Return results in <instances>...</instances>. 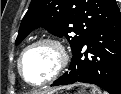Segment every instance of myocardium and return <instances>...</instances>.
<instances>
[{"instance_id": "obj_1", "label": "myocardium", "mask_w": 121, "mask_h": 94, "mask_svg": "<svg viewBox=\"0 0 121 94\" xmlns=\"http://www.w3.org/2000/svg\"><path fill=\"white\" fill-rule=\"evenodd\" d=\"M39 46L51 47L56 53L57 60H56L54 70L48 78H46L42 82L33 83V82L29 81L26 78V76L24 75V72L22 70V61H23L24 56L27 54V52H29L30 50H32L36 47H39ZM68 63H69V53H68L67 49L65 48V46L62 44V42H60L58 39H55V38L42 37V38H39V39L33 41L32 43L28 44L22 50V52L17 60V69H18L19 75L21 76V78L23 79L24 82H26L27 84H29L33 87H41V86L50 84L53 81H55L57 78H59L61 76V74L64 72V70L66 69Z\"/></svg>"}]
</instances>
